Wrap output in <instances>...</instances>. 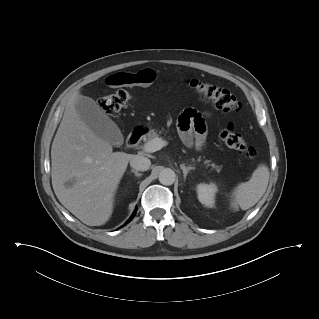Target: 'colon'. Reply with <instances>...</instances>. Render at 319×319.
<instances>
[{
	"label": "colon",
	"mask_w": 319,
	"mask_h": 319,
	"mask_svg": "<svg viewBox=\"0 0 319 319\" xmlns=\"http://www.w3.org/2000/svg\"><path fill=\"white\" fill-rule=\"evenodd\" d=\"M109 83L119 86V89L113 94L102 97L100 99V107L106 114L118 116L128 107L131 99V93L127 88L139 84L140 80L131 75L115 74L109 78ZM187 84L204 97L206 101L212 103L223 112H235L240 107L235 95L226 88L196 80H190ZM220 138L228 147L239 151L245 157L253 159L256 156L255 148L236 133L231 125L226 126L220 132Z\"/></svg>",
	"instance_id": "5ec220e1"
}]
</instances>
